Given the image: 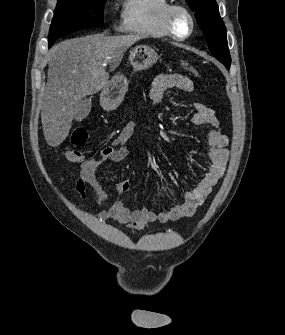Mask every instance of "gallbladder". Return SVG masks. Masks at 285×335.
<instances>
[{
  "label": "gallbladder",
  "instance_id": "bac80fb5",
  "mask_svg": "<svg viewBox=\"0 0 285 335\" xmlns=\"http://www.w3.org/2000/svg\"><path fill=\"white\" fill-rule=\"evenodd\" d=\"M89 112H91V100H87V98H85L83 102H80L74 118L77 122H81V120H84V118L88 116Z\"/></svg>",
  "mask_w": 285,
  "mask_h": 335
}]
</instances>
